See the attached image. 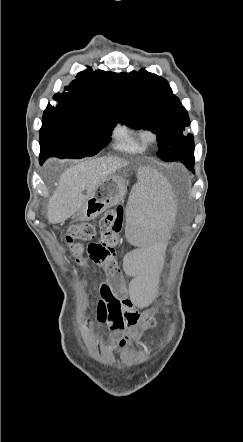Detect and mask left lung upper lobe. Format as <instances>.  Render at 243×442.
<instances>
[{
	"instance_id": "5c2ea615",
	"label": "left lung upper lobe",
	"mask_w": 243,
	"mask_h": 442,
	"mask_svg": "<svg viewBox=\"0 0 243 442\" xmlns=\"http://www.w3.org/2000/svg\"><path fill=\"white\" fill-rule=\"evenodd\" d=\"M120 79L119 122L156 133L158 157L164 161L180 160L193 170V135H183L190 120L167 80L144 69L120 73Z\"/></svg>"
}]
</instances>
